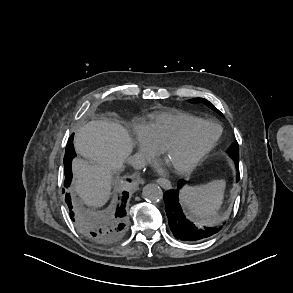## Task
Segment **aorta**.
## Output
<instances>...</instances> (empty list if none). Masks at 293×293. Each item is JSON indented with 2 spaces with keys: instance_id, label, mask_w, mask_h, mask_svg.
<instances>
[{
  "instance_id": "obj_1",
  "label": "aorta",
  "mask_w": 293,
  "mask_h": 293,
  "mask_svg": "<svg viewBox=\"0 0 293 293\" xmlns=\"http://www.w3.org/2000/svg\"><path fill=\"white\" fill-rule=\"evenodd\" d=\"M142 195L149 202H158L163 198V192L157 184H147L143 188Z\"/></svg>"
}]
</instances>
